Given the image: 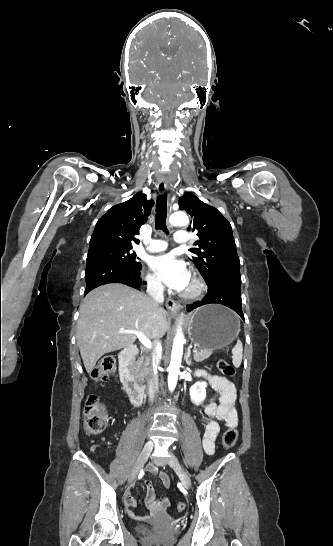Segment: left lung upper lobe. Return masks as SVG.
Returning <instances> with one entry per match:
<instances>
[{
  "mask_svg": "<svg viewBox=\"0 0 333 546\" xmlns=\"http://www.w3.org/2000/svg\"><path fill=\"white\" fill-rule=\"evenodd\" d=\"M179 207L192 218L189 230H197L200 248L190 249L191 258L206 283L228 272H240V261L227 219L214 207L205 204L192 193L179 199Z\"/></svg>",
  "mask_w": 333,
  "mask_h": 546,
  "instance_id": "obj_1",
  "label": "left lung upper lobe"
}]
</instances>
